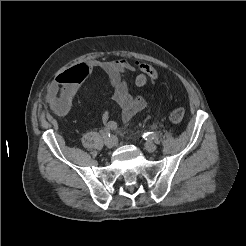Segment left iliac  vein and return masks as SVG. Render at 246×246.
<instances>
[{
	"mask_svg": "<svg viewBox=\"0 0 246 246\" xmlns=\"http://www.w3.org/2000/svg\"><path fill=\"white\" fill-rule=\"evenodd\" d=\"M144 147L148 152H155L157 149L156 144H154L153 142L146 143Z\"/></svg>",
	"mask_w": 246,
	"mask_h": 246,
	"instance_id": "4c4485c4",
	"label": "left iliac vein"
}]
</instances>
